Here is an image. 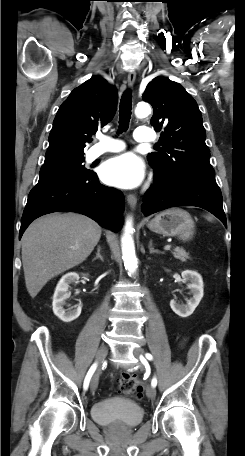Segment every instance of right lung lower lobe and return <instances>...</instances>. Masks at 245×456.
Instances as JSON below:
<instances>
[{"label": "right lung lower lobe", "instance_id": "obj_1", "mask_svg": "<svg viewBox=\"0 0 245 456\" xmlns=\"http://www.w3.org/2000/svg\"><path fill=\"white\" fill-rule=\"evenodd\" d=\"M123 210V194L101 185L94 172L87 177L37 184L29 193L19 238L34 219L57 211L84 214L101 226L118 232L123 223Z\"/></svg>", "mask_w": 245, "mask_h": 456}]
</instances>
